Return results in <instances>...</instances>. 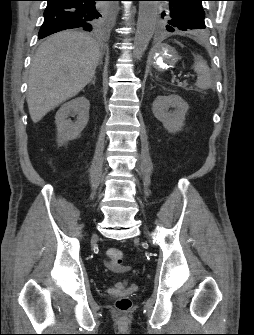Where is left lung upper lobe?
Returning <instances> with one entry per match:
<instances>
[{"instance_id":"5c2ea615","label":"left lung upper lobe","mask_w":254,"mask_h":335,"mask_svg":"<svg viewBox=\"0 0 254 335\" xmlns=\"http://www.w3.org/2000/svg\"><path fill=\"white\" fill-rule=\"evenodd\" d=\"M162 1L168 2L166 9L161 14L162 18L167 21L168 31L205 28V13L201 5L203 0Z\"/></svg>"}]
</instances>
